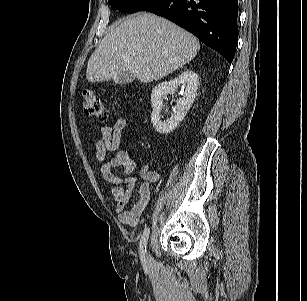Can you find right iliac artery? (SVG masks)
<instances>
[{
	"mask_svg": "<svg viewBox=\"0 0 307 301\" xmlns=\"http://www.w3.org/2000/svg\"><path fill=\"white\" fill-rule=\"evenodd\" d=\"M148 237H149V229L146 228L143 232V235L140 240V245H139L140 258H141L142 263L144 264H146V245H147Z\"/></svg>",
	"mask_w": 307,
	"mask_h": 301,
	"instance_id": "82829eb1",
	"label": "right iliac artery"
}]
</instances>
